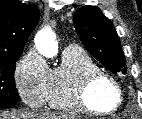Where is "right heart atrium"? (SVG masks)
Segmentation results:
<instances>
[{
  "label": "right heart atrium",
  "mask_w": 142,
  "mask_h": 119,
  "mask_svg": "<svg viewBox=\"0 0 142 119\" xmlns=\"http://www.w3.org/2000/svg\"><path fill=\"white\" fill-rule=\"evenodd\" d=\"M50 69L34 49L26 52L16 65L14 83L21 100L31 107L45 103Z\"/></svg>",
  "instance_id": "right-heart-atrium-1"
}]
</instances>
